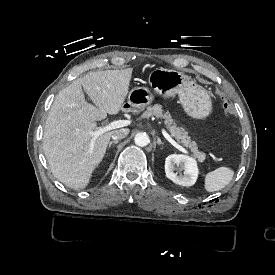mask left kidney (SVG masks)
Segmentation results:
<instances>
[{
    "label": "left kidney",
    "mask_w": 275,
    "mask_h": 275,
    "mask_svg": "<svg viewBox=\"0 0 275 275\" xmlns=\"http://www.w3.org/2000/svg\"><path fill=\"white\" fill-rule=\"evenodd\" d=\"M175 166L182 170V175L177 176L174 173ZM165 172L170 180L181 186L193 185L198 173L195 160L184 155L168 156L165 160Z\"/></svg>",
    "instance_id": "5707ae66"
}]
</instances>
